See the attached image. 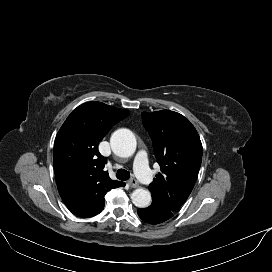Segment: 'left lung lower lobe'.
Masks as SVG:
<instances>
[{"instance_id":"1","label":"left lung lower lobe","mask_w":272,"mask_h":272,"mask_svg":"<svg viewBox=\"0 0 272 272\" xmlns=\"http://www.w3.org/2000/svg\"><path fill=\"white\" fill-rule=\"evenodd\" d=\"M139 217L150 224H159L172 217L173 213L152 203L148 208L137 210Z\"/></svg>"}]
</instances>
